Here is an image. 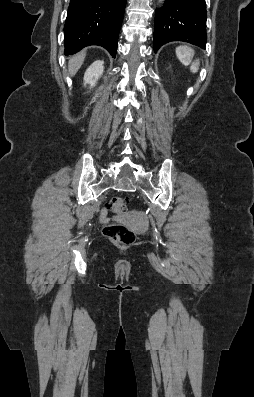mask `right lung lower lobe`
Wrapping results in <instances>:
<instances>
[{
	"label": "right lung lower lobe",
	"mask_w": 254,
	"mask_h": 397,
	"mask_svg": "<svg viewBox=\"0 0 254 397\" xmlns=\"http://www.w3.org/2000/svg\"><path fill=\"white\" fill-rule=\"evenodd\" d=\"M126 0H71L64 26L65 55L99 45L115 58Z\"/></svg>",
	"instance_id": "obj_1"
}]
</instances>
